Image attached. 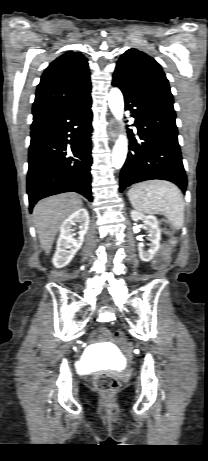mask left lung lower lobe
Instances as JSON below:
<instances>
[{"label": "left lung lower lobe", "mask_w": 208, "mask_h": 461, "mask_svg": "<svg viewBox=\"0 0 208 461\" xmlns=\"http://www.w3.org/2000/svg\"><path fill=\"white\" fill-rule=\"evenodd\" d=\"M125 110L135 118L136 140L129 131V153L120 173V192L131 184L151 180H168L185 193L187 176L182 163L173 103L140 97L124 90Z\"/></svg>", "instance_id": "left-lung-lower-lobe-1"}]
</instances>
